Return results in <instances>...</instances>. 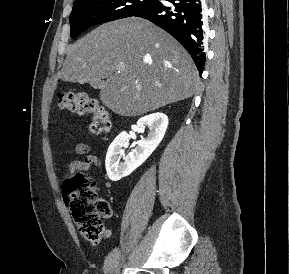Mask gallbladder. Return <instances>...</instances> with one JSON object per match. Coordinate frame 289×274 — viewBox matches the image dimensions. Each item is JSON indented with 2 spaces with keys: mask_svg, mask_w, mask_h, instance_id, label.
<instances>
[{
  "mask_svg": "<svg viewBox=\"0 0 289 274\" xmlns=\"http://www.w3.org/2000/svg\"><path fill=\"white\" fill-rule=\"evenodd\" d=\"M91 86L95 89H99V84L94 83V84H91Z\"/></svg>",
  "mask_w": 289,
  "mask_h": 274,
  "instance_id": "gallbladder-1",
  "label": "gallbladder"
}]
</instances>
